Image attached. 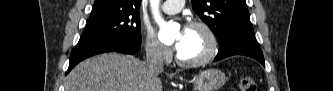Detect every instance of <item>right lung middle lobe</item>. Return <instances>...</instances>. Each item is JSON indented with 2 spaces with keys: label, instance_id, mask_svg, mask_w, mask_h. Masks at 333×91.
Wrapping results in <instances>:
<instances>
[{
  "label": "right lung middle lobe",
  "instance_id": "right-lung-middle-lobe-1",
  "mask_svg": "<svg viewBox=\"0 0 333 91\" xmlns=\"http://www.w3.org/2000/svg\"><path fill=\"white\" fill-rule=\"evenodd\" d=\"M83 36H116L134 43H141L139 12L138 10H132L90 18Z\"/></svg>",
  "mask_w": 333,
  "mask_h": 91
}]
</instances>
